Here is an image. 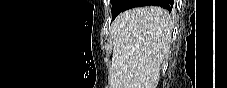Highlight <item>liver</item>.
Returning <instances> with one entry per match:
<instances>
[{"mask_svg":"<svg viewBox=\"0 0 227 88\" xmlns=\"http://www.w3.org/2000/svg\"><path fill=\"white\" fill-rule=\"evenodd\" d=\"M172 19L159 6L122 12L112 23L110 88H156L170 52Z\"/></svg>","mask_w":227,"mask_h":88,"instance_id":"liver-1","label":"liver"}]
</instances>
